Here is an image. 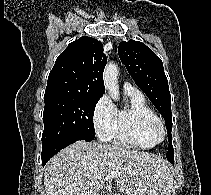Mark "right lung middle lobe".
Returning <instances> with one entry per match:
<instances>
[{
	"label": "right lung middle lobe",
	"instance_id": "1",
	"mask_svg": "<svg viewBox=\"0 0 211 195\" xmlns=\"http://www.w3.org/2000/svg\"><path fill=\"white\" fill-rule=\"evenodd\" d=\"M99 99L67 93L45 94L42 147L70 138L93 140V115Z\"/></svg>",
	"mask_w": 211,
	"mask_h": 195
}]
</instances>
